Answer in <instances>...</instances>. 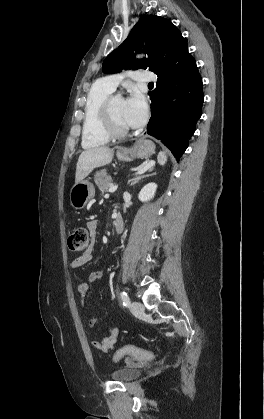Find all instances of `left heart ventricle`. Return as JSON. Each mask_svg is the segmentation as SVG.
I'll list each match as a JSON object with an SVG mask.
<instances>
[{"label":"left heart ventricle","mask_w":264,"mask_h":419,"mask_svg":"<svg viewBox=\"0 0 264 419\" xmlns=\"http://www.w3.org/2000/svg\"><path fill=\"white\" fill-rule=\"evenodd\" d=\"M125 100L122 97L115 99L112 111L116 122L122 127H128L124 119Z\"/></svg>","instance_id":"1"}]
</instances>
